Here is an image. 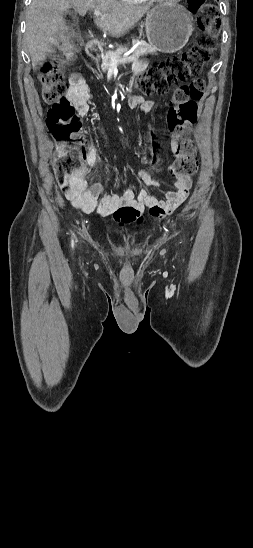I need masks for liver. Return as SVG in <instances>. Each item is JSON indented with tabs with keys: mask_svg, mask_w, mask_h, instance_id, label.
Returning <instances> with one entry per match:
<instances>
[{
	"mask_svg": "<svg viewBox=\"0 0 253 548\" xmlns=\"http://www.w3.org/2000/svg\"><path fill=\"white\" fill-rule=\"evenodd\" d=\"M73 8L84 16L89 10H99L102 15L94 23L113 37H121L148 12L146 6L129 5L116 0H32L26 20V43L32 68L60 41L68 40L69 27L64 12Z\"/></svg>",
	"mask_w": 253,
	"mask_h": 548,
	"instance_id": "liver-1",
	"label": "liver"
}]
</instances>
